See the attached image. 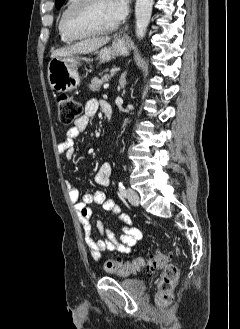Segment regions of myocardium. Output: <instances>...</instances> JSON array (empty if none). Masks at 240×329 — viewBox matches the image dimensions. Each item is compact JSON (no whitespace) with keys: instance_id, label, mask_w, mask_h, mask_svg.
Masks as SVG:
<instances>
[{"instance_id":"obj_1","label":"myocardium","mask_w":240,"mask_h":329,"mask_svg":"<svg viewBox=\"0 0 240 329\" xmlns=\"http://www.w3.org/2000/svg\"><path fill=\"white\" fill-rule=\"evenodd\" d=\"M95 0H75L74 3L66 10L63 17V30L73 39H83L97 35H103L114 31L118 27V22L104 28H89L78 30L73 26V21L79 15L85 13Z\"/></svg>"}]
</instances>
